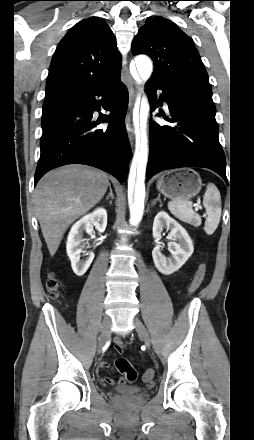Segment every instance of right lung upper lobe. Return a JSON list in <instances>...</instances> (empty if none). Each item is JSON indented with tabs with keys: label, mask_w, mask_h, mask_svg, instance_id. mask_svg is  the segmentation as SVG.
Returning <instances> with one entry per match:
<instances>
[{
	"label": "right lung upper lobe",
	"mask_w": 254,
	"mask_h": 440,
	"mask_svg": "<svg viewBox=\"0 0 254 440\" xmlns=\"http://www.w3.org/2000/svg\"><path fill=\"white\" fill-rule=\"evenodd\" d=\"M121 55L104 20L83 19L59 42L46 85V98L86 85L112 84L120 79Z\"/></svg>",
	"instance_id": "cb5924a9"
}]
</instances>
